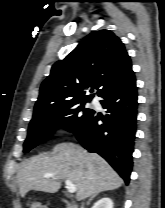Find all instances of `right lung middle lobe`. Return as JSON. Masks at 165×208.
<instances>
[{
  "instance_id": "1",
  "label": "right lung middle lobe",
  "mask_w": 165,
  "mask_h": 208,
  "mask_svg": "<svg viewBox=\"0 0 165 208\" xmlns=\"http://www.w3.org/2000/svg\"><path fill=\"white\" fill-rule=\"evenodd\" d=\"M90 100H72L46 106L34 111L29 124L28 136L24 143V152H28L40 142L51 136L57 126H64L75 133L93 113L86 108Z\"/></svg>"
}]
</instances>
